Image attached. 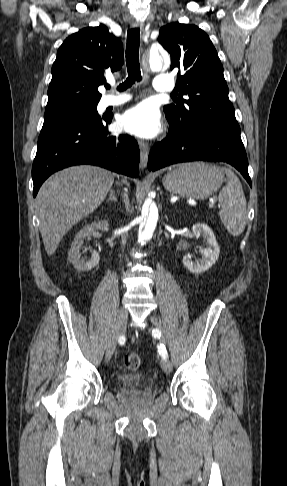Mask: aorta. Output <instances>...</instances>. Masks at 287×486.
I'll use <instances>...</instances> for the list:
<instances>
[{"instance_id": "1", "label": "aorta", "mask_w": 287, "mask_h": 486, "mask_svg": "<svg viewBox=\"0 0 287 486\" xmlns=\"http://www.w3.org/2000/svg\"><path fill=\"white\" fill-rule=\"evenodd\" d=\"M170 64L168 55H160L159 53H150L149 66L151 70L158 71ZM159 218L157 205L154 202L144 203L140 215L141 223L138 233V242L144 245L149 241L154 234Z\"/></svg>"}]
</instances>
